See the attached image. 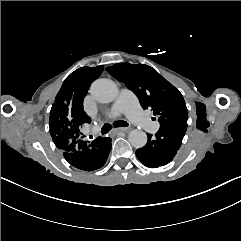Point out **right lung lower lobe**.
Listing matches in <instances>:
<instances>
[{"mask_svg":"<svg viewBox=\"0 0 241 241\" xmlns=\"http://www.w3.org/2000/svg\"><path fill=\"white\" fill-rule=\"evenodd\" d=\"M110 150L111 139L98 137L91 142L75 144L70 151L63 152V156L72 166L84 171H93L105 164Z\"/></svg>","mask_w":241,"mask_h":241,"instance_id":"1","label":"right lung lower lobe"}]
</instances>
